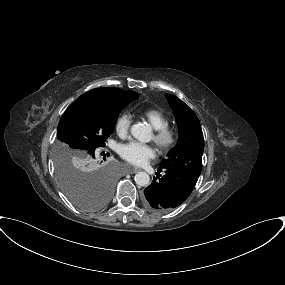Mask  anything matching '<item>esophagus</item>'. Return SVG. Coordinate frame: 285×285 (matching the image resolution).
Returning <instances> with one entry per match:
<instances>
[{
    "label": "esophagus",
    "mask_w": 285,
    "mask_h": 285,
    "mask_svg": "<svg viewBox=\"0 0 285 285\" xmlns=\"http://www.w3.org/2000/svg\"><path fill=\"white\" fill-rule=\"evenodd\" d=\"M140 171H141V169L138 168V167H134V168H133V173H137V172H140Z\"/></svg>",
    "instance_id": "obj_1"
}]
</instances>
